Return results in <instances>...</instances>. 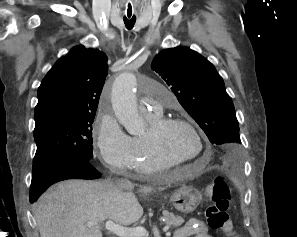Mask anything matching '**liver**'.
<instances>
[{
  "instance_id": "liver-1",
  "label": "liver",
  "mask_w": 297,
  "mask_h": 237,
  "mask_svg": "<svg viewBox=\"0 0 297 237\" xmlns=\"http://www.w3.org/2000/svg\"><path fill=\"white\" fill-rule=\"evenodd\" d=\"M132 189H119L110 181L83 180H67L51 187L34 205L40 237H102L98 227L86 223L109 219L128 226L137 222L143 208ZM152 190L144 187L140 192Z\"/></svg>"
}]
</instances>
